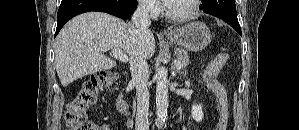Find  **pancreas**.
Returning a JSON list of instances; mask_svg holds the SVG:
<instances>
[{"instance_id": "1", "label": "pancreas", "mask_w": 299, "mask_h": 130, "mask_svg": "<svg viewBox=\"0 0 299 130\" xmlns=\"http://www.w3.org/2000/svg\"><path fill=\"white\" fill-rule=\"evenodd\" d=\"M175 55H176L177 62H179L181 65V68H186L188 66V64L190 63V61H189L190 57H189L188 52L183 49H176Z\"/></svg>"}]
</instances>
